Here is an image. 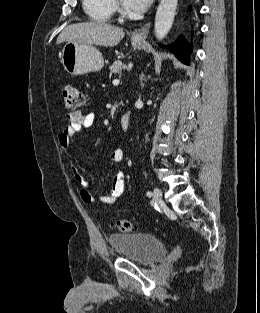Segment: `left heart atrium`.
I'll return each instance as SVG.
<instances>
[{"label":"left heart atrium","instance_id":"obj_1","mask_svg":"<svg viewBox=\"0 0 260 313\" xmlns=\"http://www.w3.org/2000/svg\"><path fill=\"white\" fill-rule=\"evenodd\" d=\"M153 0H123L126 7L134 12L140 13L145 11Z\"/></svg>","mask_w":260,"mask_h":313}]
</instances>
